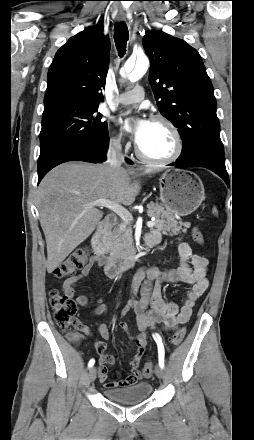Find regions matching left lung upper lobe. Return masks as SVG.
I'll use <instances>...</instances> for the list:
<instances>
[{"instance_id": "obj_1", "label": "left lung upper lobe", "mask_w": 254, "mask_h": 440, "mask_svg": "<svg viewBox=\"0 0 254 440\" xmlns=\"http://www.w3.org/2000/svg\"><path fill=\"white\" fill-rule=\"evenodd\" d=\"M143 47L158 108L179 129L180 156L189 157L208 145L223 147L213 86L199 53L162 31L146 32Z\"/></svg>"}]
</instances>
